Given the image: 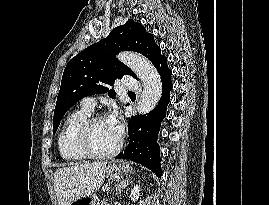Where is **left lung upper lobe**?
Listing matches in <instances>:
<instances>
[{
	"mask_svg": "<svg viewBox=\"0 0 269 205\" xmlns=\"http://www.w3.org/2000/svg\"><path fill=\"white\" fill-rule=\"evenodd\" d=\"M122 50L142 53L154 66L163 57L153 35L146 32L142 24L130 19L114 28L106 38L84 49L66 65L54 111L53 133L66 111L82 98L106 92L115 98V92L107 85H113L126 74L137 79L131 69L116 58Z\"/></svg>",
	"mask_w": 269,
	"mask_h": 205,
	"instance_id": "5c2ea615",
	"label": "left lung upper lobe"
}]
</instances>
